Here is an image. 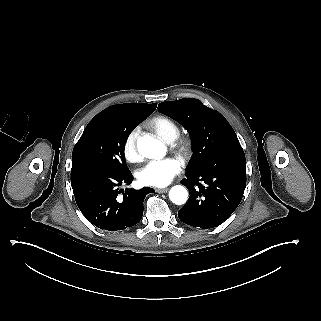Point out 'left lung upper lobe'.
Listing matches in <instances>:
<instances>
[{
	"label": "left lung upper lobe",
	"mask_w": 321,
	"mask_h": 321,
	"mask_svg": "<svg viewBox=\"0 0 321 321\" xmlns=\"http://www.w3.org/2000/svg\"><path fill=\"white\" fill-rule=\"evenodd\" d=\"M158 111L181 123L190 134L194 155L187 171L199 169L215 154L241 148L228 121L197 99L162 102Z\"/></svg>",
	"instance_id": "left-lung-upper-lobe-1"
}]
</instances>
